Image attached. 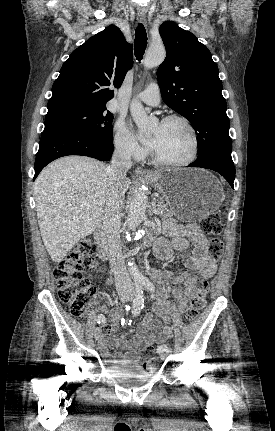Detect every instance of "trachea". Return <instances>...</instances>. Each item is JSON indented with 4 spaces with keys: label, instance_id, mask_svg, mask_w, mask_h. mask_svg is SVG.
Wrapping results in <instances>:
<instances>
[{
    "label": "trachea",
    "instance_id": "3493384b",
    "mask_svg": "<svg viewBox=\"0 0 275 431\" xmlns=\"http://www.w3.org/2000/svg\"><path fill=\"white\" fill-rule=\"evenodd\" d=\"M147 46V33L143 24H139L135 30L134 51L138 61H141Z\"/></svg>",
    "mask_w": 275,
    "mask_h": 431
}]
</instances>
